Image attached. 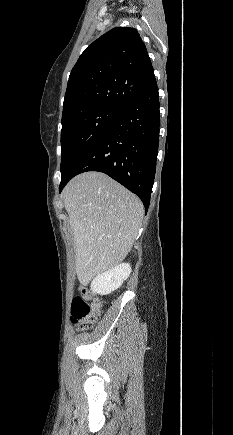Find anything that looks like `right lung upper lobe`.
<instances>
[{"label":"right lung upper lobe","instance_id":"right-lung-upper-lobe-1","mask_svg":"<svg viewBox=\"0 0 233 435\" xmlns=\"http://www.w3.org/2000/svg\"><path fill=\"white\" fill-rule=\"evenodd\" d=\"M155 80L138 31L114 28L79 57L69 76L62 121L98 107L122 109Z\"/></svg>","mask_w":233,"mask_h":435}]
</instances>
